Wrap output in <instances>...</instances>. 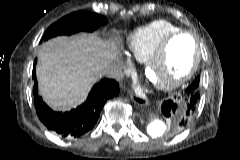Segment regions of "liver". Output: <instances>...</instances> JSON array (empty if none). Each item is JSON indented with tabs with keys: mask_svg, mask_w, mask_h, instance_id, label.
I'll return each instance as SVG.
<instances>
[{
	"mask_svg": "<svg viewBox=\"0 0 240 160\" xmlns=\"http://www.w3.org/2000/svg\"><path fill=\"white\" fill-rule=\"evenodd\" d=\"M115 50L114 42L86 33L43 43L36 74L45 102L61 111L76 107L101 76L100 70L113 65Z\"/></svg>",
	"mask_w": 240,
	"mask_h": 160,
	"instance_id": "1",
	"label": "liver"
}]
</instances>
